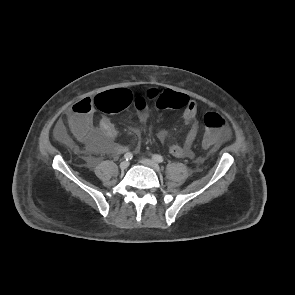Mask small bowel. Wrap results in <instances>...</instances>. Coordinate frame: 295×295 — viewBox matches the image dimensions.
<instances>
[{"label":"small bowel","mask_w":295,"mask_h":295,"mask_svg":"<svg viewBox=\"0 0 295 295\" xmlns=\"http://www.w3.org/2000/svg\"><path fill=\"white\" fill-rule=\"evenodd\" d=\"M75 105L72 106L68 113L70 125L76 137L85 143L90 151L94 153L119 155L128 150L126 145L115 141L117 130L107 117H102L98 125L94 126L92 109L87 113H82L75 109ZM197 113L198 105L196 101L188 97V102L183 107L182 113L186 134L181 142L174 143L170 146L169 152L172 156L177 158H192L194 156L193 143L199 132ZM74 118H76L77 121V126L75 128L72 126V119ZM139 118L141 122L146 125L149 117L145 112L140 110ZM56 132L60 139H66V133L61 124L57 125ZM156 136L163 141L166 138V132L162 129H158L156 131Z\"/></svg>","instance_id":"c3829d8e"}]
</instances>
